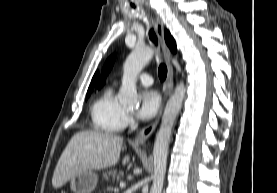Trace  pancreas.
I'll return each instance as SVG.
<instances>
[{"mask_svg": "<svg viewBox=\"0 0 277 193\" xmlns=\"http://www.w3.org/2000/svg\"><path fill=\"white\" fill-rule=\"evenodd\" d=\"M124 174L121 170H116V169H109L103 172V177L105 179H108L109 177H112V179H121L123 178Z\"/></svg>", "mask_w": 277, "mask_h": 193, "instance_id": "1", "label": "pancreas"}]
</instances>
